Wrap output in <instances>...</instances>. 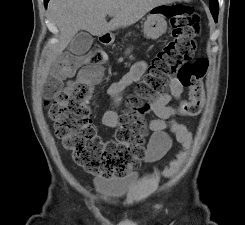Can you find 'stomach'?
<instances>
[{
	"label": "stomach",
	"mask_w": 245,
	"mask_h": 225,
	"mask_svg": "<svg viewBox=\"0 0 245 225\" xmlns=\"http://www.w3.org/2000/svg\"><path fill=\"white\" fill-rule=\"evenodd\" d=\"M166 4L158 5L151 9L143 26V33L147 39L156 40L167 30L164 9Z\"/></svg>",
	"instance_id": "stomach-1"
}]
</instances>
